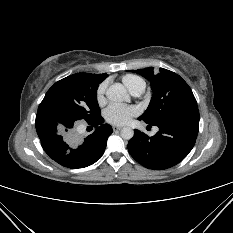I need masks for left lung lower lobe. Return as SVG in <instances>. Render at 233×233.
<instances>
[{"instance_id": "left-lung-lower-lobe-1", "label": "left lung lower lobe", "mask_w": 233, "mask_h": 233, "mask_svg": "<svg viewBox=\"0 0 233 233\" xmlns=\"http://www.w3.org/2000/svg\"><path fill=\"white\" fill-rule=\"evenodd\" d=\"M155 125L159 131L152 137L135 130L128 143V151L137 162L149 169L161 170L175 166L189 154L195 144L199 129L197 104Z\"/></svg>"}]
</instances>
